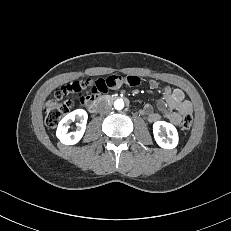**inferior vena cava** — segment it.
I'll use <instances>...</instances> for the list:
<instances>
[{
  "label": "inferior vena cava",
  "mask_w": 231,
  "mask_h": 231,
  "mask_svg": "<svg viewBox=\"0 0 231 231\" xmlns=\"http://www.w3.org/2000/svg\"><path fill=\"white\" fill-rule=\"evenodd\" d=\"M112 109V105L109 102L102 101L99 103L97 110L100 114L109 113Z\"/></svg>",
  "instance_id": "obj_1"
}]
</instances>
